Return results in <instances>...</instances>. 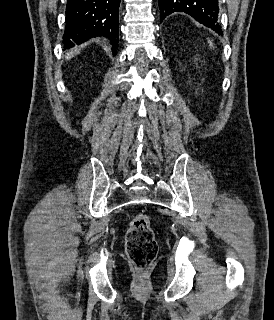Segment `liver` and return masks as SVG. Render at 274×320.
Segmentation results:
<instances>
[{
    "instance_id": "liver-1",
    "label": "liver",
    "mask_w": 274,
    "mask_h": 320,
    "mask_svg": "<svg viewBox=\"0 0 274 320\" xmlns=\"http://www.w3.org/2000/svg\"><path fill=\"white\" fill-rule=\"evenodd\" d=\"M77 54H80V48H72V50H69L65 58L66 60H71V58H74V56H77Z\"/></svg>"
}]
</instances>
